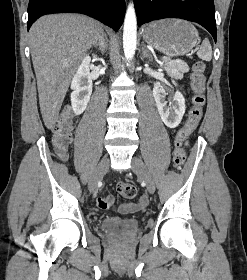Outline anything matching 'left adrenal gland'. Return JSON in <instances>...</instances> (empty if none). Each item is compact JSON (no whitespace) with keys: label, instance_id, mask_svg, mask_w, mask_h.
<instances>
[{"label":"left adrenal gland","instance_id":"obj_1","mask_svg":"<svg viewBox=\"0 0 247 280\" xmlns=\"http://www.w3.org/2000/svg\"><path fill=\"white\" fill-rule=\"evenodd\" d=\"M144 58H149V59H151L152 56H151V54L149 53L148 49L145 47V45H144V43H143V47H142V60H143Z\"/></svg>","mask_w":247,"mask_h":280}]
</instances>
